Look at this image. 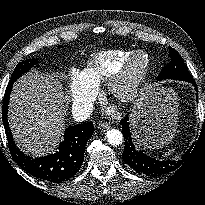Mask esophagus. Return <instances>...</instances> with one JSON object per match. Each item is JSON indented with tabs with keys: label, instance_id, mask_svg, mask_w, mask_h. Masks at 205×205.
Returning a JSON list of instances; mask_svg holds the SVG:
<instances>
[{
	"label": "esophagus",
	"instance_id": "esophagus-1",
	"mask_svg": "<svg viewBox=\"0 0 205 205\" xmlns=\"http://www.w3.org/2000/svg\"><path fill=\"white\" fill-rule=\"evenodd\" d=\"M98 128L101 131H106V130H108L110 128V126L108 124L100 123Z\"/></svg>",
	"mask_w": 205,
	"mask_h": 205
}]
</instances>
